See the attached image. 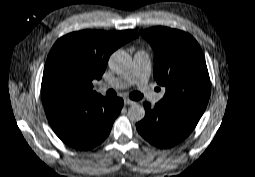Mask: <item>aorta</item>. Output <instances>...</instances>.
Instances as JSON below:
<instances>
[{"label":"aorta","instance_id":"762f6f07","mask_svg":"<svg viewBox=\"0 0 255 177\" xmlns=\"http://www.w3.org/2000/svg\"><path fill=\"white\" fill-rule=\"evenodd\" d=\"M132 61L131 56L124 50L115 51L109 59V65L117 72H122L130 65ZM127 116L132 122H139L145 117V109L137 103H133L129 109Z\"/></svg>","mask_w":255,"mask_h":177}]
</instances>
